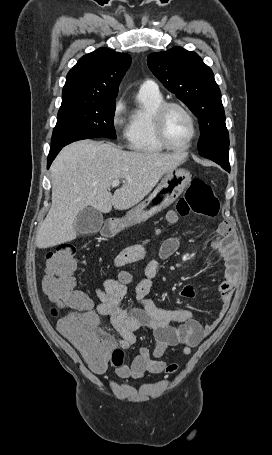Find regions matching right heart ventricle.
<instances>
[{"instance_id": "obj_1", "label": "right heart ventricle", "mask_w": 272, "mask_h": 455, "mask_svg": "<svg viewBox=\"0 0 272 455\" xmlns=\"http://www.w3.org/2000/svg\"><path fill=\"white\" fill-rule=\"evenodd\" d=\"M164 101L159 91L139 90L138 106L131 112L127 127L128 147L140 153H159L165 148L158 142L153 129V113Z\"/></svg>"}]
</instances>
